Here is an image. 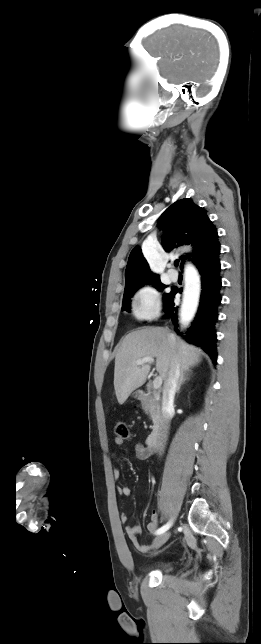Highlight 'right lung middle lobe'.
Segmentation results:
<instances>
[{"label": "right lung middle lobe", "mask_w": 261, "mask_h": 644, "mask_svg": "<svg viewBox=\"0 0 261 644\" xmlns=\"http://www.w3.org/2000/svg\"><path fill=\"white\" fill-rule=\"evenodd\" d=\"M143 285H153V287L157 288L158 290L162 291L166 285H163L160 280L157 281H151V282H142V283H137L132 285L131 287L127 288L124 290V296H123V304H122V310L130 311V303H131V297L135 293L137 289L142 287ZM174 294V288H172V291L170 293H165L164 294V302L165 306L167 305L168 301ZM164 306V308H165Z\"/></svg>", "instance_id": "dd1d6c3e"}]
</instances>
